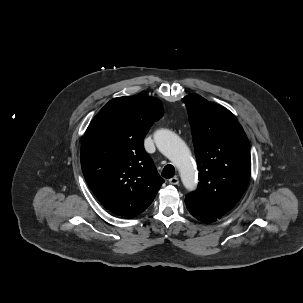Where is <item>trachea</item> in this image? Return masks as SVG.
Returning <instances> with one entry per match:
<instances>
[{
    "mask_svg": "<svg viewBox=\"0 0 303 303\" xmlns=\"http://www.w3.org/2000/svg\"><path fill=\"white\" fill-rule=\"evenodd\" d=\"M174 174H175V168L171 164L166 165L162 171V176L167 179L172 178Z\"/></svg>",
    "mask_w": 303,
    "mask_h": 303,
    "instance_id": "1",
    "label": "trachea"
}]
</instances>
